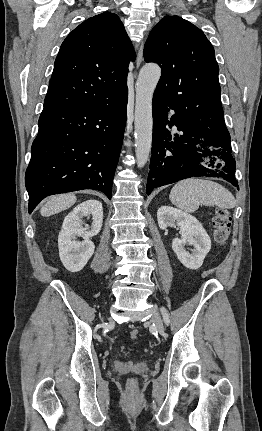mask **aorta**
<instances>
[{"instance_id": "obj_1", "label": "aorta", "mask_w": 262, "mask_h": 431, "mask_svg": "<svg viewBox=\"0 0 262 431\" xmlns=\"http://www.w3.org/2000/svg\"><path fill=\"white\" fill-rule=\"evenodd\" d=\"M161 76V68L154 63L144 65L136 82L135 153L138 167H144L152 146V99Z\"/></svg>"}]
</instances>
